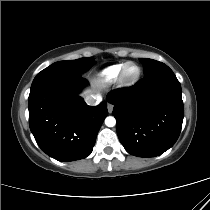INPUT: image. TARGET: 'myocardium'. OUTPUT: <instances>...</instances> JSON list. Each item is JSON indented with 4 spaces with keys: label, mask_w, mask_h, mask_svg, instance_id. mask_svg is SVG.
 Masks as SVG:
<instances>
[{
    "label": "myocardium",
    "mask_w": 210,
    "mask_h": 210,
    "mask_svg": "<svg viewBox=\"0 0 210 210\" xmlns=\"http://www.w3.org/2000/svg\"><path fill=\"white\" fill-rule=\"evenodd\" d=\"M130 65H134L137 68V73L133 77H128L126 74L127 68ZM141 73H142L141 67L137 63L132 62V61L126 62L123 65L120 75H119L120 82L124 86H132L139 81L141 77Z\"/></svg>",
    "instance_id": "myocardium-1"
}]
</instances>
